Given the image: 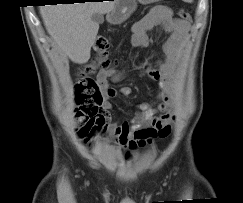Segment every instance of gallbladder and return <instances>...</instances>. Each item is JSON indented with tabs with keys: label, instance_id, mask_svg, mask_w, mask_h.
<instances>
[{
	"label": "gallbladder",
	"instance_id": "obj_1",
	"mask_svg": "<svg viewBox=\"0 0 243 203\" xmlns=\"http://www.w3.org/2000/svg\"><path fill=\"white\" fill-rule=\"evenodd\" d=\"M92 21H94V22L97 23V24H101V23H103V21H104V17H103L102 14L94 13V14L92 15Z\"/></svg>",
	"mask_w": 243,
	"mask_h": 203
}]
</instances>
